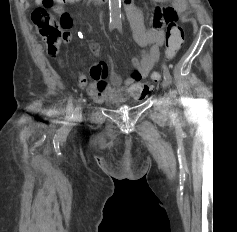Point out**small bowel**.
I'll use <instances>...</instances> for the list:
<instances>
[{"instance_id":"obj_1","label":"small bowel","mask_w":237,"mask_h":232,"mask_svg":"<svg viewBox=\"0 0 237 232\" xmlns=\"http://www.w3.org/2000/svg\"><path fill=\"white\" fill-rule=\"evenodd\" d=\"M80 1L66 0L65 3L75 4ZM152 1L155 7L149 29L145 28L138 9L133 7L128 9L135 41L142 48L140 54L131 59L132 70L129 77L122 81L118 73L113 70L108 81L109 71L104 62L96 63L90 69L91 83L88 84L85 76H80L79 86L87 88L88 94L95 102H123L129 98L142 100L147 95L149 87L143 80L159 59V50L165 41L164 27L174 23L187 6V0ZM168 2L169 6H163ZM57 12L62 13L64 10L58 7ZM90 50L95 56H99L101 46L97 41H92Z\"/></svg>"}]
</instances>
